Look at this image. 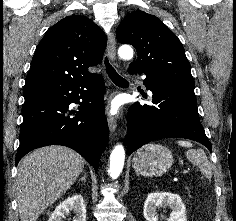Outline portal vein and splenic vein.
I'll return each instance as SVG.
<instances>
[{
	"instance_id": "18ae733b",
	"label": "portal vein and splenic vein",
	"mask_w": 236,
	"mask_h": 221,
	"mask_svg": "<svg viewBox=\"0 0 236 221\" xmlns=\"http://www.w3.org/2000/svg\"><path fill=\"white\" fill-rule=\"evenodd\" d=\"M188 172V170L187 169H184L183 171H182V173H187Z\"/></svg>"
}]
</instances>
